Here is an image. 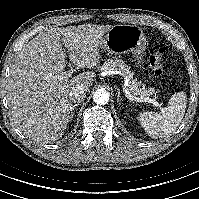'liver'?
I'll use <instances>...</instances> for the list:
<instances>
[{"label": "liver", "mask_w": 199, "mask_h": 199, "mask_svg": "<svg viewBox=\"0 0 199 199\" xmlns=\"http://www.w3.org/2000/svg\"><path fill=\"white\" fill-rule=\"evenodd\" d=\"M112 25H81L51 28L41 32L18 53L6 85L7 101L15 124L25 135L41 141L62 137L67 128L72 103L70 90L78 85L88 88L95 72L70 78L61 76L68 50L73 64L94 69L100 58L99 40Z\"/></svg>", "instance_id": "obj_1"}]
</instances>
